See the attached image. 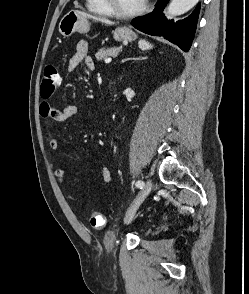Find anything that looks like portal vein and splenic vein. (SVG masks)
Wrapping results in <instances>:
<instances>
[{
    "mask_svg": "<svg viewBox=\"0 0 249 294\" xmlns=\"http://www.w3.org/2000/svg\"><path fill=\"white\" fill-rule=\"evenodd\" d=\"M111 61H112L111 58H106V59H105V63H106V64L110 63Z\"/></svg>",
    "mask_w": 249,
    "mask_h": 294,
    "instance_id": "1",
    "label": "portal vein and splenic vein"
}]
</instances>
